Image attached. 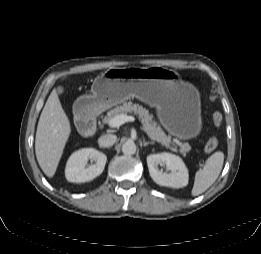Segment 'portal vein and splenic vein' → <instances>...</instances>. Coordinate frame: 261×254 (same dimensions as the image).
Returning a JSON list of instances; mask_svg holds the SVG:
<instances>
[{"mask_svg": "<svg viewBox=\"0 0 261 254\" xmlns=\"http://www.w3.org/2000/svg\"><path fill=\"white\" fill-rule=\"evenodd\" d=\"M133 121H135V118L133 116H128L126 114H120V115H117V116L113 117L112 119H110L108 122V125L111 128H116L126 122H133Z\"/></svg>", "mask_w": 261, "mask_h": 254, "instance_id": "18ae733b", "label": "portal vein and splenic vein"}]
</instances>
